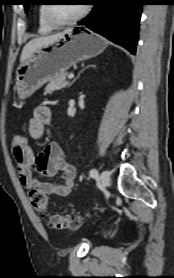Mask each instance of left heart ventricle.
I'll use <instances>...</instances> for the list:
<instances>
[{
    "label": "left heart ventricle",
    "mask_w": 174,
    "mask_h": 278,
    "mask_svg": "<svg viewBox=\"0 0 174 278\" xmlns=\"http://www.w3.org/2000/svg\"><path fill=\"white\" fill-rule=\"evenodd\" d=\"M83 5H54L52 6V15L57 20H67L76 16Z\"/></svg>",
    "instance_id": "1"
}]
</instances>
